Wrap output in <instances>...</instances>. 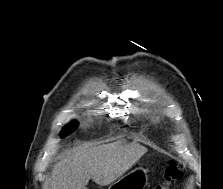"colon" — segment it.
Wrapping results in <instances>:
<instances>
[{"instance_id":"5ec220e1","label":"colon","mask_w":223,"mask_h":189,"mask_svg":"<svg viewBox=\"0 0 223 189\" xmlns=\"http://www.w3.org/2000/svg\"><path fill=\"white\" fill-rule=\"evenodd\" d=\"M182 176V170L175 161H170L165 168L163 181L154 189H170Z\"/></svg>"}]
</instances>
